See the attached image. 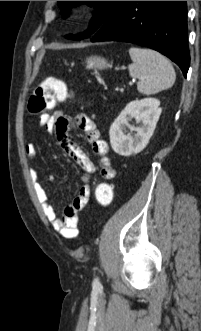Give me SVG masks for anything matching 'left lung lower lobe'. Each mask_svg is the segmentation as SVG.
I'll list each match as a JSON object with an SVG mask.
<instances>
[{
  "label": "left lung lower lobe",
  "instance_id": "0a47b994",
  "mask_svg": "<svg viewBox=\"0 0 201 331\" xmlns=\"http://www.w3.org/2000/svg\"><path fill=\"white\" fill-rule=\"evenodd\" d=\"M100 41L152 48L175 62L186 77L190 65L186 1H120L91 38Z\"/></svg>",
  "mask_w": 201,
  "mask_h": 331
}]
</instances>
